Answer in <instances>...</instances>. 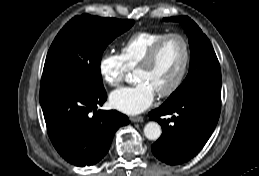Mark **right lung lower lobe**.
Returning a JSON list of instances; mask_svg holds the SVG:
<instances>
[{"label": "right lung lower lobe", "mask_w": 259, "mask_h": 176, "mask_svg": "<svg viewBox=\"0 0 259 176\" xmlns=\"http://www.w3.org/2000/svg\"><path fill=\"white\" fill-rule=\"evenodd\" d=\"M106 91L78 86L40 89L39 100L50 140L58 153L76 166H90L108 152L115 132L129 122L115 111L96 110Z\"/></svg>", "instance_id": "obj_1"}]
</instances>
